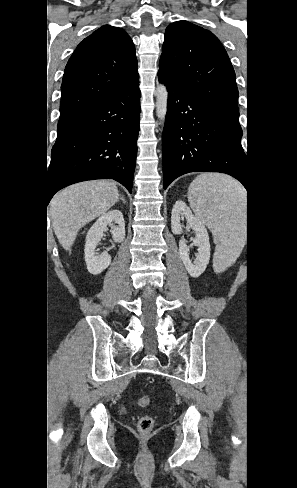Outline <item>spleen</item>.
<instances>
[{
    "mask_svg": "<svg viewBox=\"0 0 297 488\" xmlns=\"http://www.w3.org/2000/svg\"><path fill=\"white\" fill-rule=\"evenodd\" d=\"M192 210L211 230L217 244L215 267H226L244 244L246 192L236 180L220 174H201L188 189Z\"/></svg>",
    "mask_w": 297,
    "mask_h": 488,
    "instance_id": "spleen-1",
    "label": "spleen"
}]
</instances>
